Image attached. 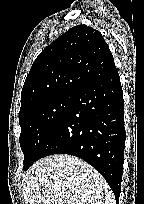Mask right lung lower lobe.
<instances>
[{
    "label": "right lung lower lobe",
    "mask_w": 144,
    "mask_h": 204,
    "mask_svg": "<svg viewBox=\"0 0 144 204\" xmlns=\"http://www.w3.org/2000/svg\"><path fill=\"white\" fill-rule=\"evenodd\" d=\"M125 138L123 91L116 69L76 94L39 159L69 154L85 160L106 179L118 202Z\"/></svg>",
    "instance_id": "98d812e1"
}]
</instances>
